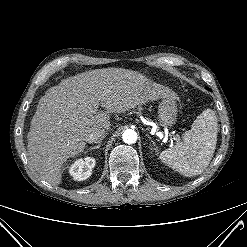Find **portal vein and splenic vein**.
Here are the masks:
<instances>
[{"mask_svg": "<svg viewBox=\"0 0 247 247\" xmlns=\"http://www.w3.org/2000/svg\"><path fill=\"white\" fill-rule=\"evenodd\" d=\"M96 109H97V107L94 110H92V112L96 111ZM175 140L179 141V138H175Z\"/></svg>", "mask_w": 247, "mask_h": 247, "instance_id": "obj_1", "label": "portal vein and splenic vein"}]
</instances>
